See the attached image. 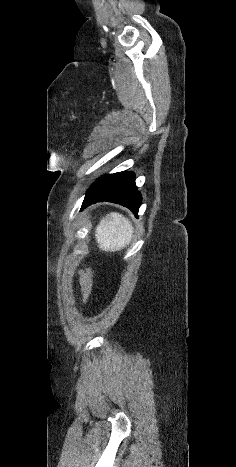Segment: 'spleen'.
Masks as SVG:
<instances>
[{"mask_svg":"<svg viewBox=\"0 0 236 467\" xmlns=\"http://www.w3.org/2000/svg\"><path fill=\"white\" fill-rule=\"evenodd\" d=\"M134 229L127 218L118 213L106 215L95 230L98 246L104 251H119L132 240Z\"/></svg>","mask_w":236,"mask_h":467,"instance_id":"1","label":"spleen"}]
</instances>
